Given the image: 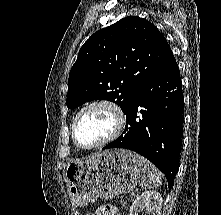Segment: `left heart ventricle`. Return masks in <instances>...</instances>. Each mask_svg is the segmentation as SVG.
<instances>
[{
	"label": "left heart ventricle",
	"mask_w": 221,
	"mask_h": 215,
	"mask_svg": "<svg viewBox=\"0 0 221 215\" xmlns=\"http://www.w3.org/2000/svg\"><path fill=\"white\" fill-rule=\"evenodd\" d=\"M114 126L115 119L111 110L103 106L92 107L79 118L76 136L82 145H94L108 137Z\"/></svg>",
	"instance_id": "obj_1"
}]
</instances>
